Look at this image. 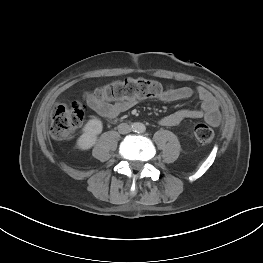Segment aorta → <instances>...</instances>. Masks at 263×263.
Here are the masks:
<instances>
[{"label": "aorta", "mask_w": 263, "mask_h": 263, "mask_svg": "<svg viewBox=\"0 0 263 263\" xmlns=\"http://www.w3.org/2000/svg\"><path fill=\"white\" fill-rule=\"evenodd\" d=\"M135 131L138 132H144L145 131V125L143 123H136L134 126Z\"/></svg>", "instance_id": "762f6f07"}]
</instances>
